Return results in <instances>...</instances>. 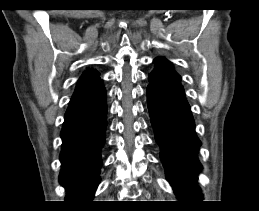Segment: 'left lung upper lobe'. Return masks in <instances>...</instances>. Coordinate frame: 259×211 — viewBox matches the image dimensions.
I'll return each mask as SVG.
<instances>
[{"label": "left lung upper lobe", "mask_w": 259, "mask_h": 211, "mask_svg": "<svg viewBox=\"0 0 259 211\" xmlns=\"http://www.w3.org/2000/svg\"><path fill=\"white\" fill-rule=\"evenodd\" d=\"M154 63L155 68L149 75L166 79L175 83H180L181 77L174 71L171 62L166 60L164 57H157L154 60Z\"/></svg>", "instance_id": "obj_1"}]
</instances>
